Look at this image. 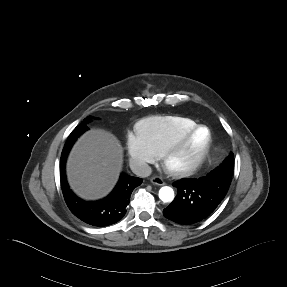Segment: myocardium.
Segmentation results:
<instances>
[{
  "label": "myocardium",
  "mask_w": 287,
  "mask_h": 287,
  "mask_svg": "<svg viewBox=\"0 0 287 287\" xmlns=\"http://www.w3.org/2000/svg\"><path fill=\"white\" fill-rule=\"evenodd\" d=\"M200 129H206L208 131L209 137L208 142L200 154V156L190 165L187 166H172L171 161L172 159L178 155L188 144L190 139L195 135L197 131ZM213 133L212 130L205 125H196L191 130L180 136L178 139H176L163 153L162 156V166L163 169L167 174H169L172 177L175 178H184L187 176L192 175L194 172H196L206 161L208 158L212 146H213Z\"/></svg>",
  "instance_id": "myocardium-1"
}]
</instances>
